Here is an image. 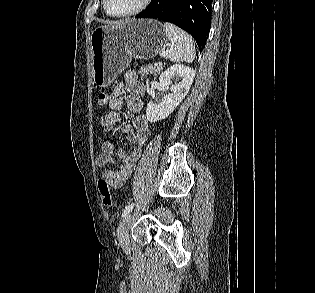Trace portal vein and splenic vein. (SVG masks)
I'll return each instance as SVG.
<instances>
[{
    "label": "portal vein and splenic vein",
    "mask_w": 315,
    "mask_h": 293,
    "mask_svg": "<svg viewBox=\"0 0 315 293\" xmlns=\"http://www.w3.org/2000/svg\"><path fill=\"white\" fill-rule=\"evenodd\" d=\"M154 66H158V64L157 63H155V65Z\"/></svg>",
    "instance_id": "portal-vein-and-splenic-vein-1"
}]
</instances>
